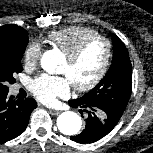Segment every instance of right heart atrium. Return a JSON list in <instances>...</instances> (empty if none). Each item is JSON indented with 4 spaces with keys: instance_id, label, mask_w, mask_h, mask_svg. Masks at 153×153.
<instances>
[{
    "instance_id": "d8ad5b80",
    "label": "right heart atrium",
    "mask_w": 153,
    "mask_h": 153,
    "mask_svg": "<svg viewBox=\"0 0 153 153\" xmlns=\"http://www.w3.org/2000/svg\"><path fill=\"white\" fill-rule=\"evenodd\" d=\"M42 53L41 45L37 41L30 42L24 51V62L27 67L38 64Z\"/></svg>"
}]
</instances>
